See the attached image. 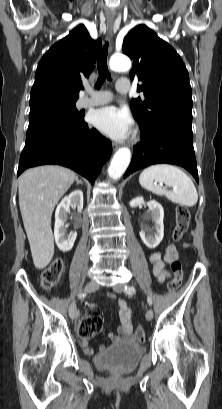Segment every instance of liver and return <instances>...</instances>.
I'll return each instance as SVG.
<instances>
[{
  "instance_id": "obj_1",
  "label": "liver",
  "mask_w": 222,
  "mask_h": 409,
  "mask_svg": "<svg viewBox=\"0 0 222 409\" xmlns=\"http://www.w3.org/2000/svg\"><path fill=\"white\" fill-rule=\"evenodd\" d=\"M76 178L72 170L54 165L28 169L19 177V206L37 269L53 258L52 212Z\"/></svg>"
}]
</instances>
